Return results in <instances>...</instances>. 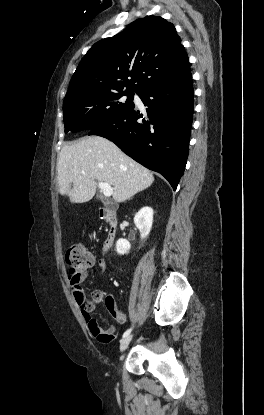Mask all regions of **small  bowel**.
Segmentation results:
<instances>
[{"instance_id":"small-bowel-1","label":"small bowel","mask_w":264,"mask_h":415,"mask_svg":"<svg viewBox=\"0 0 264 415\" xmlns=\"http://www.w3.org/2000/svg\"><path fill=\"white\" fill-rule=\"evenodd\" d=\"M106 269V262L104 260H100L98 262L97 271L99 274H103ZM88 270L87 268H79L74 273H70L69 281H70V288L71 292L78 302V304H82L84 301V292L81 287V283L87 278ZM85 318L88 321L89 329L91 333L95 336L97 341L102 345H108L110 341L115 338L116 327L109 326V327H100L97 321L93 317H86L85 312H83ZM123 323L126 322V318L122 321Z\"/></svg>"}]
</instances>
